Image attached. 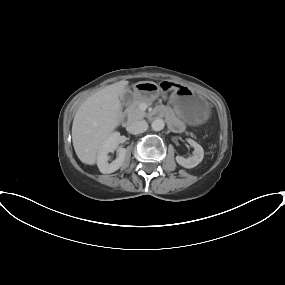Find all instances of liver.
Instances as JSON below:
<instances>
[{
	"label": "liver",
	"instance_id": "liver-1",
	"mask_svg": "<svg viewBox=\"0 0 285 285\" xmlns=\"http://www.w3.org/2000/svg\"><path fill=\"white\" fill-rule=\"evenodd\" d=\"M128 81L108 85L88 97L77 110L72 125L74 150L82 163L94 165L97 153L119 125L120 99Z\"/></svg>",
	"mask_w": 285,
	"mask_h": 285
}]
</instances>
